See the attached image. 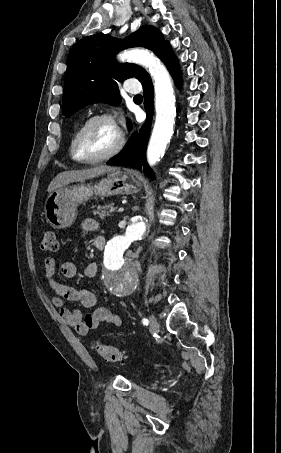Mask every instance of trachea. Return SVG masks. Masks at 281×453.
I'll return each mask as SVG.
<instances>
[{"label":"trachea","instance_id":"obj_1","mask_svg":"<svg viewBox=\"0 0 281 453\" xmlns=\"http://www.w3.org/2000/svg\"><path fill=\"white\" fill-rule=\"evenodd\" d=\"M135 97H142V95L138 94V95H135ZM135 97H134V98H135Z\"/></svg>","mask_w":281,"mask_h":453}]
</instances>
